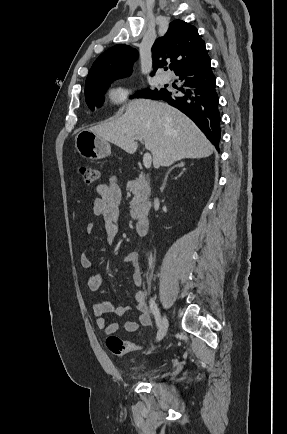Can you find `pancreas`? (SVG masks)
<instances>
[{"label": "pancreas", "instance_id": "cf45deb5", "mask_svg": "<svg viewBox=\"0 0 287 434\" xmlns=\"http://www.w3.org/2000/svg\"><path fill=\"white\" fill-rule=\"evenodd\" d=\"M127 190L134 197L130 203V215L133 219H138L148 214L151 204L149 201V185L144 176L129 181Z\"/></svg>", "mask_w": 287, "mask_h": 434}]
</instances>
